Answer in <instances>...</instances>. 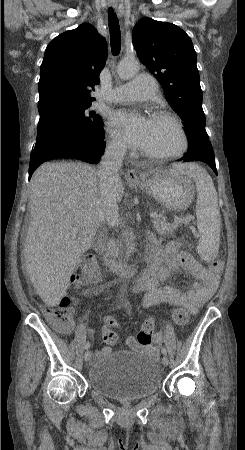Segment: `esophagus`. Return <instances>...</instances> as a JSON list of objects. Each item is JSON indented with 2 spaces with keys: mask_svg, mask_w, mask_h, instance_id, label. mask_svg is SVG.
<instances>
[{
  "mask_svg": "<svg viewBox=\"0 0 245 450\" xmlns=\"http://www.w3.org/2000/svg\"><path fill=\"white\" fill-rule=\"evenodd\" d=\"M112 6H116V4H115V3H112ZM127 177H128L129 179H131V180H139V179H140L139 174H138L137 171L134 170V169L128 170V172H127Z\"/></svg>",
  "mask_w": 245,
  "mask_h": 450,
  "instance_id": "obj_1",
  "label": "esophagus"
}]
</instances>
